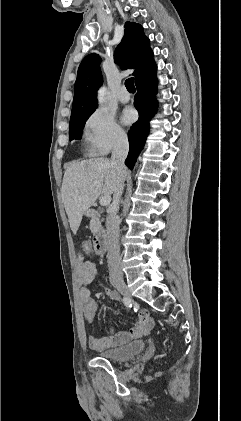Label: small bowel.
I'll return each mask as SVG.
<instances>
[{
    "label": "small bowel",
    "mask_w": 241,
    "mask_h": 421,
    "mask_svg": "<svg viewBox=\"0 0 241 421\" xmlns=\"http://www.w3.org/2000/svg\"><path fill=\"white\" fill-rule=\"evenodd\" d=\"M98 275L96 264L93 262L79 261L77 266V276L79 284V297L82 304L83 317L88 325L95 322L98 304L91 296L88 285L92 283ZM106 296L110 299L116 300L117 294L112 290L106 291ZM108 334L103 337L89 336V347L96 351H104L122 344H125L133 339L140 338L147 335L154 326V321L148 310L142 309L135 320V326L128 331L114 332L113 321L110 316H107Z\"/></svg>",
    "instance_id": "1"
}]
</instances>
